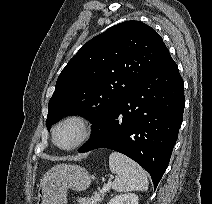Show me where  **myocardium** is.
I'll use <instances>...</instances> for the list:
<instances>
[{"mask_svg": "<svg viewBox=\"0 0 212 204\" xmlns=\"http://www.w3.org/2000/svg\"><path fill=\"white\" fill-rule=\"evenodd\" d=\"M66 124H75L79 128V137L77 140L70 146H61L56 141V132L57 130ZM91 135V126L88 122V120L79 114H69L61 118L52 128V142L56 147H58L61 150L70 151L74 150L81 145H83L90 137Z\"/></svg>", "mask_w": 212, "mask_h": 204, "instance_id": "myocardium-1", "label": "myocardium"}]
</instances>
